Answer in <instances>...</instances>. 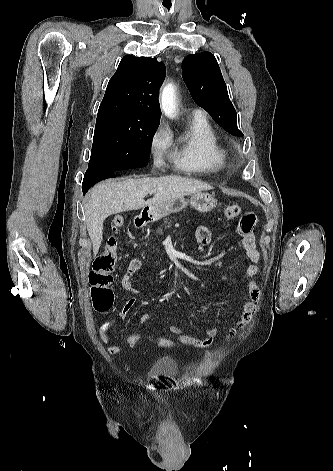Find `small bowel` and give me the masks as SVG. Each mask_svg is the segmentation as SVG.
<instances>
[{
	"label": "small bowel",
	"instance_id": "c3829d8e",
	"mask_svg": "<svg viewBox=\"0 0 333 471\" xmlns=\"http://www.w3.org/2000/svg\"><path fill=\"white\" fill-rule=\"evenodd\" d=\"M254 225L255 215L253 213H246L241 217L237 226V231L242 237L243 249L248 260L250 261V264L246 268L245 272L247 278L248 298L243 304L241 319L230 329L226 336L227 338H231L236 335L239 329L244 328L253 319L261 299V290L253 280V278L258 273L257 263L260 260V253L256 247L255 236L253 233ZM195 239L199 245H207L211 240V233L209 229L205 226H199L195 232ZM141 266L142 262L140 259H131L121 278V286L132 295L119 313V317L121 319H125L128 316L139 298L140 293L135 286V275ZM219 279L221 281H228L232 283L235 282L233 278L227 275H220ZM139 320L141 324H149L151 322V316L148 313H143L141 314ZM113 323L114 320L106 321L99 327V335L101 340L106 344H110V346L107 348V352L110 355L118 354L121 351V345L113 343V340L109 335V330ZM169 332L175 336L174 341L178 344L193 346L196 348H208L212 345L216 335L218 334V329L216 327L208 328L205 331V336L203 338L185 334L180 327L175 325L169 327Z\"/></svg>",
	"mask_w": 333,
	"mask_h": 471
}]
</instances>
